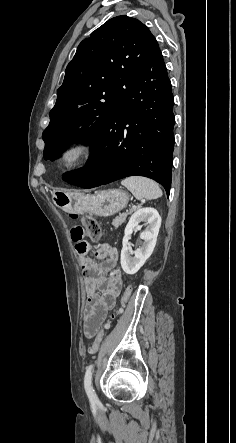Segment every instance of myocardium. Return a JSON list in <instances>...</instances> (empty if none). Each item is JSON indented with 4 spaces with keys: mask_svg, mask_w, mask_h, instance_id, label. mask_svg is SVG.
I'll list each match as a JSON object with an SVG mask.
<instances>
[{
    "mask_svg": "<svg viewBox=\"0 0 236 443\" xmlns=\"http://www.w3.org/2000/svg\"><path fill=\"white\" fill-rule=\"evenodd\" d=\"M95 154V145L86 138L68 142L59 155L60 166L66 170H76L86 165Z\"/></svg>",
    "mask_w": 236,
    "mask_h": 443,
    "instance_id": "1",
    "label": "myocardium"
}]
</instances>
